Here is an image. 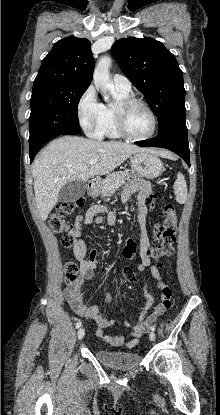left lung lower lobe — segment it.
I'll return each instance as SVG.
<instances>
[{"label":"left lung lower lobe","mask_w":220,"mask_h":415,"mask_svg":"<svg viewBox=\"0 0 220 415\" xmlns=\"http://www.w3.org/2000/svg\"><path fill=\"white\" fill-rule=\"evenodd\" d=\"M135 143L144 147L169 149L183 158L190 166V151L185 116L172 120L161 132H158L157 137Z\"/></svg>","instance_id":"obj_1"}]
</instances>
